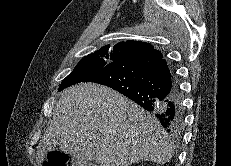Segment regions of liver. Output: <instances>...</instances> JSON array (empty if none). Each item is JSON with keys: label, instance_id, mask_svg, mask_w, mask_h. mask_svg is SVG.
Listing matches in <instances>:
<instances>
[{"label": "liver", "instance_id": "liver-1", "mask_svg": "<svg viewBox=\"0 0 231 166\" xmlns=\"http://www.w3.org/2000/svg\"><path fill=\"white\" fill-rule=\"evenodd\" d=\"M56 145L80 162L129 166L140 161L169 162L173 146L160 123L115 90L81 83L63 91L38 157Z\"/></svg>", "mask_w": 231, "mask_h": 166}]
</instances>
